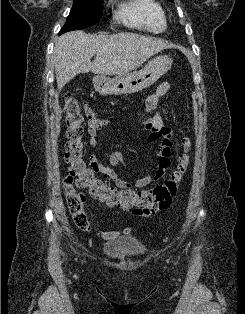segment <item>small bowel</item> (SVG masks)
Listing matches in <instances>:
<instances>
[{
  "label": "small bowel",
  "instance_id": "small-bowel-1",
  "mask_svg": "<svg viewBox=\"0 0 245 314\" xmlns=\"http://www.w3.org/2000/svg\"><path fill=\"white\" fill-rule=\"evenodd\" d=\"M170 89V84L168 82L160 83L155 91L148 96L146 100V106L144 112L140 114L145 129L148 132L146 137L147 143H158L156 152L159 156V161L156 170L153 174H148L140 177L133 182H127L121 179L117 173L116 168L123 162V153L121 151L115 150L109 154L108 165L101 163L96 155L92 154L90 156V162L93 168L102 175L106 182L113 181L116 186L120 189L134 190V187H145L153 181L161 179L167 172L171 165V155H172V137L173 131L170 127L164 124V120L160 113V105L162 99L166 96ZM84 112L88 119V145L91 148L97 146L96 135L100 130L108 124V121L100 120L95 117L92 109L89 105H84ZM99 124L98 126L96 124ZM133 215L136 217L148 218L152 214H142L133 210ZM132 228H126L123 234L131 233ZM98 235L107 241L115 240L120 237L121 232L118 231H99Z\"/></svg>",
  "mask_w": 245,
  "mask_h": 314
}]
</instances>
